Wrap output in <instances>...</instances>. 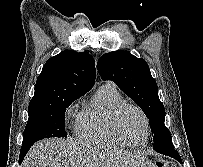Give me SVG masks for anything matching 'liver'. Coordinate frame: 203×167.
Wrapping results in <instances>:
<instances>
[{"label":"liver","instance_id":"obj_1","mask_svg":"<svg viewBox=\"0 0 203 167\" xmlns=\"http://www.w3.org/2000/svg\"><path fill=\"white\" fill-rule=\"evenodd\" d=\"M21 167H152V164L134 153L71 138H48L33 145Z\"/></svg>","mask_w":203,"mask_h":167}]
</instances>
